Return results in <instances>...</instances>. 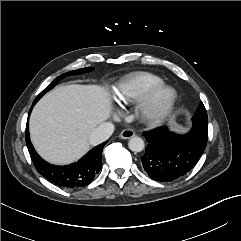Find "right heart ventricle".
Returning <instances> with one entry per match:
<instances>
[{
    "mask_svg": "<svg viewBox=\"0 0 241 241\" xmlns=\"http://www.w3.org/2000/svg\"><path fill=\"white\" fill-rule=\"evenodd\" d=\"M163 83V79L151 72L138 71L126 75L117 84L114 98L125 104L135 103L154 86Z\"/></svg>",
    "mask_w": 241,
    "mask_h": 241,
    "instance_id": "obj_1",
    "label": "right heart ventricle"
}]
</instances>
